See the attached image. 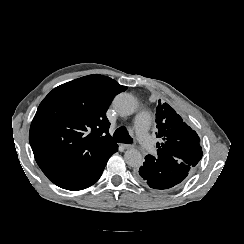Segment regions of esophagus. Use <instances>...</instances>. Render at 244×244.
I'll use <instances>...</instances> for the list:
<instances>
[{
    "label": "esophagus",
    "mask_w": 244,
    "mask_h": 244,
    "mask_svg": "<svg viewBox=\"0 0 244 244\" xmlns=\"http://www.w3.org/2000/svg\"><path fill=\"white\" fill-rule=\"evenodd\" d=\"M122 146H123V149H125V150L133 147L131 144H123Z\"/></svg>",
    "instance_id": "esophagus-1"
}]
</instances>
